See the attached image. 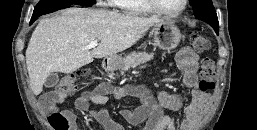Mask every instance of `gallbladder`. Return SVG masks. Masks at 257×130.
Returning a JSON list of instances; mask_svg holds the SVG:
<instances>
[{"instance_id": "1", "label": "gallbladder", "mask_w": 257, "mask_h": 130, "mask_svg": "<svg viewBox=\"0 0 257 130\" xmlns=\"http://www.w3.org/2000/svg\"><path fill=\"white\" fill-rule=\"evenodd\" d=\"M58 81H59V76H58V74H57V73H51V74L47 77V79H46V81H45V86H46L47 88L54 87V86L58 83Z\"/></svg>"}]
</instances>
